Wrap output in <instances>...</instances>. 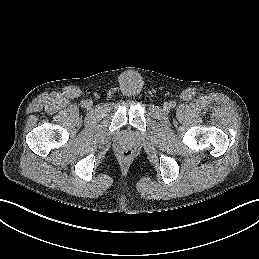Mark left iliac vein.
<instances>
[{"label":"left iliac vein","instance_id":"left-iliac-vein-1","mask_svg":"<svg viewBox=\"0 0 259 259\" xmlns=\"http://www.w3.org/2000/svg\"><path fill=\"white\" fill-rule=\"evenodd\" d=\"M170 107H171V106H170L169 103H165L164 106H163L164 111H166V112L169 111V110H170Z\"/></svg>","mask_w":259,"mask_h":259}]
</instances>
